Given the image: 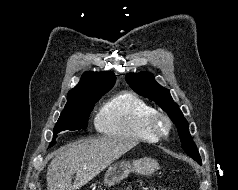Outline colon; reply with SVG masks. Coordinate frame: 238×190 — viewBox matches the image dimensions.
Returning a JSON list of instances; mask_svg holds the SVG:
<instances>
[{
    "label": "colon",
    "mask_w": 238,
    "mask_h": 190,
    "mask_svg": "<svg viewBox=\"0 0 238 190\" xmlns=\"http://www.w3.org/2000/svg\"><path fill=\"white\" fill-rule=\"evenodd\" d=\"M142 190H157L156 188H153V187H147V188H144Z\"/></svg>",
    "instance_id": "1"
}]
</instances>
